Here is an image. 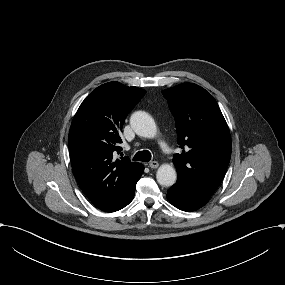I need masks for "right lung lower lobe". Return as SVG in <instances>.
Segmentation results:
<instances>
[{
	"mask_svg": "<svg viewBox=\"0 0 285 285\" xmlns=\"http://www.w3.org/2000/svg\"><path fill=\"white\" fill-rule=\"evenodd\" d=\"M141 175H142V174H141ZM140 177H141V176H140ZM140 177H139V178H140ZM139 178H138V179L136 180V182L133 184V186H132L130 192L128 193V195L126 196L124 202H123L115 211L124 208L125 206H127V205L132 201V199H133V197H134V194H135V186H136V183H137V181L139 180Z\"/></svg>",
	"mask_w": 285,
	"mask_h": 285,
	"instance_id": "98d812e1",
	"label": "right lung lower lobe"
}]
</instances>
